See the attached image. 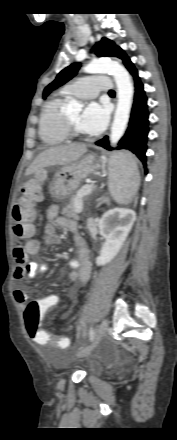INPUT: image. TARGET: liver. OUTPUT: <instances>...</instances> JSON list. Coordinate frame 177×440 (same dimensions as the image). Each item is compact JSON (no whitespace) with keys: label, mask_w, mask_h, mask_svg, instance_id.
<instances>
[{"label":"liver","mask_w":177,"mask_h":440,"mask_svg":"<svg viewBox=\"0 0 177 440\" xmlns=\"http://www.w3.org/2000/svg\"><path fill=\"white\" fill-rule=\"evenodd\" d=\"M87 152L85 144H70L49 148L40 153L33 163L27 168L25 175H30L44 167L54 165H67L80 159ZM122 163V159L110 164V171L115 174L116 168Z\"/></svg>","instance_id":"1"}]
</instances>
